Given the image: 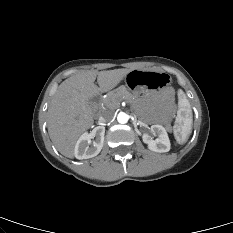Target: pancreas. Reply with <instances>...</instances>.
Returning <instances> with one entry per match:
<instances>
[{"label": "pancreas", "mask_w": 233, "mask_h": 233, "mask_svg": "<svg viewBox=\"0 0 233 233\" xmlns=\"http://www.w3.org/2000/svg\"><path fill=\"white\" fill-rule=\"evenodd\" d=\"M123 99L132 103L135 100V97L125 86H120L116 90L108 93L107 98L104 100V105L107 109L114 110L119 107V103Z\"/></svg>", "instance_id": "obj_1"}]
</instances>
